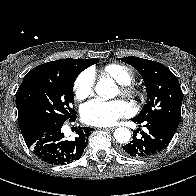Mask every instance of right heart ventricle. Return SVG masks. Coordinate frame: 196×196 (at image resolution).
<instances>
[{
  "mask_svg": "<svg viewBox=\"0 0 196 196\" xmlns=\"http://www.w3.org/2000/svg\"><path fill=\"white\" fill-rule=\"evenodd\" d=\"M103 72L122 85H128L134 81L133 71L122 64H109L104 68Z\"/></svg>",
  "mask_w": 196,
  "mask_h": 196,
  "instance_id": "1",
  "label": "right heart ventricle"
}]
</instances>
